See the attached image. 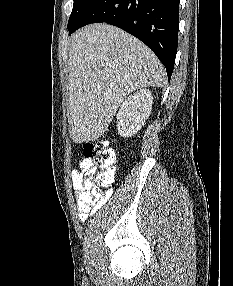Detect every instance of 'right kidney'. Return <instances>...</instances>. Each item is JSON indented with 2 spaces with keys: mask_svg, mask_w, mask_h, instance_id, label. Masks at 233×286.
<instances>
[{
  "mask_svg": "<svg viewBox=\"0 0 233 286\" xmlns=\"http://www.w3.org/2000/svg\"><path fill=\"white\" fill-rule=\"evenodd\" d=\"M153 96L148 89H139L123 101L117 113V129L122 137L136 134L150 116Z\"/></svg>",
  "mask_w": 233,
  "mask_h": 286,
  "instance_id": "1",
  "label": "right kidney"
}]
</instances>
